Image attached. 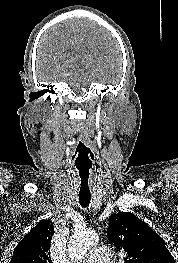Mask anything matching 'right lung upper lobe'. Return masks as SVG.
I'll use <instances>...</instances> for the list:
<instances>
[{
	"mask_svg": "<svg viewBox=\"0 0 178 263\" xmlns=\"http://www.w3.org/2000/svg\"><path fill=\"white\" fill-rule=\"evenodd\" d=\"M53 234L52 222L41 220L16 246L10 263H52L50 243Z\"/></svg>",
	"mask_w": 178,
	"mask_h": 263,
	"instance_id": "right-lung-upper-lobe-1",
	"label": "right lung upper lobe"
}]
</instances>
